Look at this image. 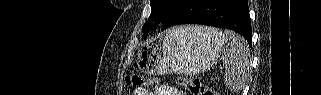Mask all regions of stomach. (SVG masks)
<instances>
[{"mask_svg":"<svg viewBox=\"0 0 321 95\" xmlns=\"http://www.w3.org/2000/svg\"><path fill=\"white\" fill-rule=\"evenodd\" d=\"M224 41L218 31L207 33L193 26L173 28L139 50L137 64L147 74L194 75L216 63Z\"/></svg>","mask_w":321,"mask_h":95,"instance_id":"stomach-1","label":"stomach"}]
</instances>
